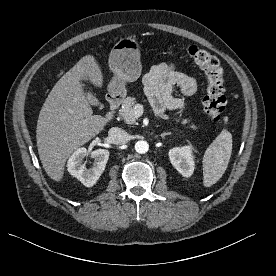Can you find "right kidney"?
Returning a JSON list of instances; mask_svg holds the SVG:
<instances>
[{"mask_svg": "<svg viewBox=\"0 0 276 276\" xmlns=\"http://www.w3.org/2000/svg\"><path fill=\"white\" fill-rule=\"evenodd\" d=\"M88 154L86 148L77 149L68 159L67 170L76 177L86 187H92L96 184L101 174L105 170L109 158V151L106 149H97L91 153L94 163L90 168H86L83 163L84 157Z\"/></svg>", "mask_w": 276, "mask_h": 276, "instance_id": "right-kidney-1", "label": "right kidney"}]
</instances>
